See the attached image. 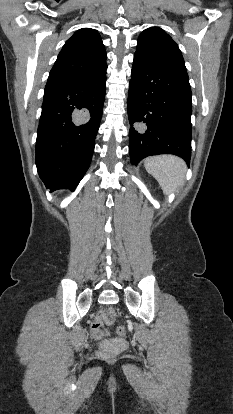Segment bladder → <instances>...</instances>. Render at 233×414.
<instances>
[{
	"label": "bladder",
	"instance_id": "1",
	"mask_svg": "<svg viewBox=\"0 0 233 414\" xmlns=\"http://www.w3.org/2000/svg\"><path fill=\"white\" fill-rule=\"evenodd\" d=\"M121 345V342L117 341L111 344L113 347H119Z\"/></svg>",
	"mask_w": 233,
	"mask_h": 414
}]
</instances>
